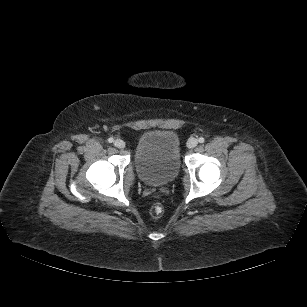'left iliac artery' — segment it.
<instances>
[{
	"mask_svg": "<svg viewBox=\"0 0 307 307\" xmlns=\"http://www.w3.org/2000/svg\"><path fill=\"white\" fill-rule=\"evenodd\" d=\"M200 143H204L205 139L203 137H200L198 140Z\"/></svg>",
	"mask_w": 307,
	"mask_h": 307,
	"instance_id": "obj_1",
	"label": "left iliac artery"
}]
</instances>
